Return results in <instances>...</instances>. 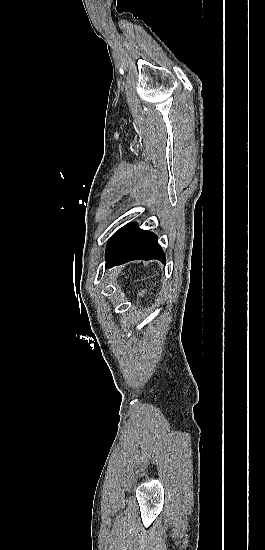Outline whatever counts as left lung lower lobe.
I'll return each mask as SVG.
<instances>
[{"mask_svg":"<svg viewBox=\"0 0 265 550\" xmlns=\"http://www.w3.org/2000/svg\"><path fill=\"white\" fill-rule=\"evenodd\" d=\"M151 259H158L162 263H166L165 254L157 241V236L135 227L112 252L106 255V268L131 260Z\"/></svg>","mask_w":265,"mask_h":550,"instance_id":"1","label":"left lung lower lobe"}]
</instances>
